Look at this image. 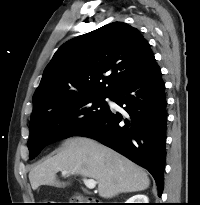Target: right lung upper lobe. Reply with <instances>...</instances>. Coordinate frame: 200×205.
<instances>
[{
  "instance_id": "obj_1",
  "label": "right lung upper lobe",
  "mask_w": 200,
  "mask_h": 205,
  "mask_svg": "<svg viewBox=\"0 0 200 205\" xmlns=\"http://www.w3.org/2000/svg\"><path fill=\"white\" fill-rule=\"evenodd\" d=\"M154 62L147 40L126 23L113 22L69 40L44 70L31 118L66 99L111 96Z\"/></svg>"
}]
</instances>
